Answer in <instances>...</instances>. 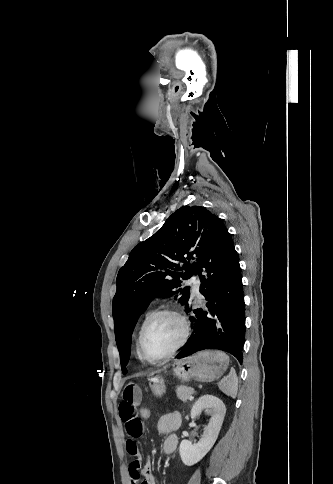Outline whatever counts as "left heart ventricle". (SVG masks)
Here are the masks:
<instances>
[{
	"label": "left heart ventricle",
	"instance_id": "obj_1",
	"mask_svg": "<svg viewBox=\"0 0 333 484\" xmlns=\"http://www.w3.org/2000/svg\"><path fill=\"white\" fill-rule=\"evenodd\" d=\"M182 325L173 316H162L149 327L144 341L146 354L158 358L169 352L182 336Z\"/></svg>",
	"mask_w": 333,
	"mask_h": 484
}]
</instances>
